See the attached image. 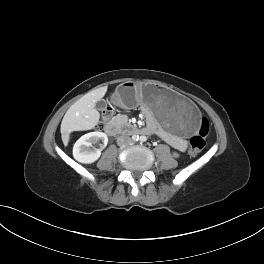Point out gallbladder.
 Returning a JSON list of instances; mask_svg holds the SVG:
<instances>
[{"mask_svg": "<svg viewBox=\"0 0 264 264\" xmlns=\"http://www.w3.org/2000/svg\"><path fill=\"white\" fill-rule=\"evenodd\" d=\"M95 108L97 110H104L106 108V102L104 100H100L95 104Z\"/></svg>", "mask_w": 264, "mask_h": 264, "instance_id": "gallbladder-1", "label": "gallbladder"}]
</instances>
